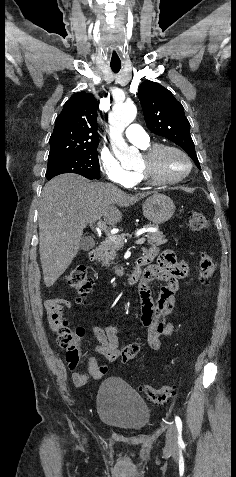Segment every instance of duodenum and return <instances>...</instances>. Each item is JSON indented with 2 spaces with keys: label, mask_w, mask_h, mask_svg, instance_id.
I'll list each match as a JSON object with an SVG mask.
<instances>
[{
  "label": "duodenum",
  "mask_w": 236,
  "mask_h": 477,
  "mask_svg": "<svg viewBox=\"0 0 236 477\" xmlns=\"http://www.w3.org/2000/svg\"><path fill=\"white\" fill-rule=\"evenodd\" d=\"M89 258L91 261H96L98 258V248H93L89 252ZM149 262L144 257H140L136 260L135 268L129 278L126 281L128 287L142 285L145 282L144 279V266Z\"/></svg>",
  "instance_id": "1"
}]
</instances>
